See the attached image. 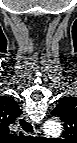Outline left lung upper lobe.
<instances>
[{
	"mask_svg": "<svg viewBox=\"0 0 77 143\" xmlns=\"http://www.w3.org/2000/svg\"><path fill=\"white\" fill-rule=\"evenodd\" d=\"M52 116L59 117L64 123V136L74 138L77 133V99L63 97L51 112Z\"/></svg>",
	"mask_w": 77,
	"mask_h": 143,
	"instance_id": "left-lung-upper-lobe-1",
	"label": "left lung upper lobe"
}]
</instances>
